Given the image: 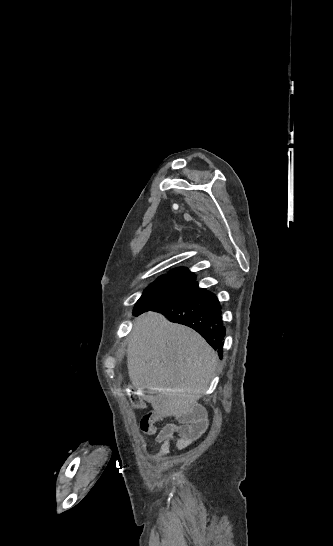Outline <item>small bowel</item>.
<instances>
[{"label": "small bowel", "instance_id": "c3829d8e", "mask_svg": "<svg viewBox=\"0 0 333 546\" xmlns=\"http://www.w3.org/2000/svg\"><path fill=\"white\" fill-rule=\"evenodd\" d=\"M163 418V415L155 414L156 421ZM178 422V425L166 424L156 435L155 441L160 444L157 457L166 455L172 443L179 449L185 448L207 429V420L202 418L180 417Z\"/></svg>", "mask_w": 333, "mask_h": 546}]
</instances>
